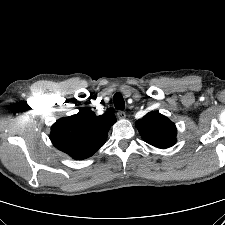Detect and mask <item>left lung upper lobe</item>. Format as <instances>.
Returning a JSON list of instances; mask_svg holds the SVG:
<instances>
[{"label":"left lung upper lobe","instance_id":"obj_1","mask_svg":"<svg viewBox=\"0 0 225 225\" xmlns=\"http://www.w3.org/2000/svg\"><path fill=\"white\" fill-rule=\"evenodd\" d=\"M136 127L143 140L158 148H169L176 142V127L167 117L157 111L137 120Z\"/></svg>","mask_w":225,"mask_h":225}]
</instances>
